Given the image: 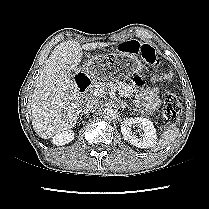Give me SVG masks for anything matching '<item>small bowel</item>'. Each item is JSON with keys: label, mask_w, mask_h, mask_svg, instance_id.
Returning a JSON list of instances; mask_svg holds the SVG:
<instances>
[{"label": "small bowel", "mask_w": 209, "mask_h": 209, "mask_svg": "<svg viewBox=\"0 0 209 209\" xmlns=\"http://www.w3.org/2000/svg\"><path fill=\"white\" fill-rule=\"evenodd\" d=\"M128 80L133 87L139 88L146 83L147 77L142 70L136 69L129 74ZM136 103L150 112L156 110L160 104L159 88L154 86L140 90Z\"/></svg>", "instance_id": "c3829d8e"}]
</instances>
